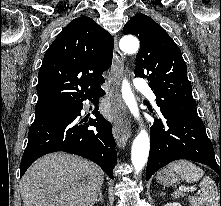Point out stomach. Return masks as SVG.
Listing matches in <instances>:
<instances>
[{
	"mask_svg": "<svg viewBox=\"0 0 221 206\" xmlns=\"http://www.w3.org/2000/svg\"><path fill=\"white\" fill-rule=\"evenodd\" d=\"M158 183L164 186H173L179 179V174L169 167L161 170L156 177Z\"/></svg>",
	"mask_w": 221,
	"mask_h": 206,
	"instance_id": "stomach-1",
	"label": "stomach"
}]
</instances>
